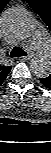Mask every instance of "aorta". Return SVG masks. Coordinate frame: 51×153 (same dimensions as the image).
<instances>
[{
  "label": "aorta",
  "instance_id": "762f6f07",
  "mask_svg": "<svg viewBox=\"0 0 51 153\" xmlns=\"http://www.w3.org/2000/svg\"><path fill=\"white\" fill-rule=\"evenodd\" d=\"M36 23L31 14L21 7L10 8L3 13L2 27L5 34L17 38H28L35 29ZM30 70L38 78L51 74V61L44 56H34L30 60Z\"/></svg>",
  "mask_w": 51,
  "mask_h": 153
}]
</instances>
